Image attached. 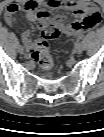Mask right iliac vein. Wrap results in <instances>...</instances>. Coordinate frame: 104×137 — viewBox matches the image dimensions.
I'll use <instances>...</instances> for the list:
<instances>
[{
    "label": "right iliac vein",
    "mask_w": 104,
    "mask_h": 137,
    "mask_svg": "<svg viewBox=\"0 0 104 137\" xmlns=\"http://www.w3.org/2000/svg\"><path fill=\"white\" fill-rule=\"evenodd\" d=\"M18 52L20 53V54H24V49H23V47L22 46H18Z\"/></svg>",
    "instance_id": "obj_1"
}]
</instances>
